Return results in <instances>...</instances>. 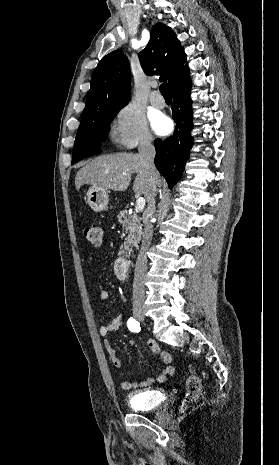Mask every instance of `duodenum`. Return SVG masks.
Instances as JSON below:
<instances>
[{
    "mask_svg": "<svg viewBox=\"0 0 279 465\" xmlns=\"http://www.w3.org/2000/svg\"><path fill=\"white\" fill-rule=\"evenodd\" d=\"M116 274L120 280H127L128 278V262L123 255H121L117 260H116Z\"/></svg>",
    "mask_w": 279,
    "mask_h": 465,
    "instance_id": "duodenum-1",
    "label": "duodenum"
}]
</instances>
